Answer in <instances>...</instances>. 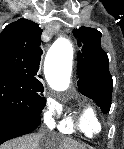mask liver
<instances>
[{"mask_svg":"<svg viewBox=\"0 0 124 149\" xmlns=\"http://www.w3.org/2000/svg\"><path fill=\"white\" fill-rule=\"evenodd\" d=\"M57 147V149H85L71 139H60L52 134H33L15 139L1 147V149H40V147Z\"/></svg>","mask_w":124,"mask_h":149,"instance_id":"obj_1","label":"liver"}]
</instances>
